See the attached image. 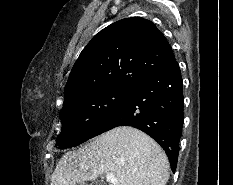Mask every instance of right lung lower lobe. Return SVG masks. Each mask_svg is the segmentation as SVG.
<instances>
[{"label": "right lung lower lobe", "mask_w": 233, "mask_h": 185, "mask_svg": "<svg viewBox=\"0 0 233 185\" xmlns=\"http://www.w3.org/2000/svg\"><path fill=\"white\" fill-rule=\"evenodd\" d=\"M183 99L181 72L175 60L136 83L91 138L117 126L136 127L161 145L175 172L184 122Z\"/></svg>", "instance_id": "1"}]
</instances>
